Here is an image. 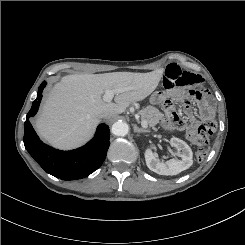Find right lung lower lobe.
I'll list each match as a JSON object with an SVG mask.
<instances>
[{"label":"right lung lower lobe","mask_w":245,"mask_h":245,"mask_svg":"<svg viewBox=\"0 0 245 245\" xmlns=\"http://www.w3.org/2000/svg\"><path fill=\"white\" fill-rule=\"evenodd\" d=\"M45 85L44 81L38 88V96L26 116L25 148L47 173L66 181L85 178L98 169L105 160L109 148V127L100 124L94 138L75 150L62 151L44 144L34 131L29 118L34 116L39 108Z\"/></svg>","instance_id":"1"}]
</instances>
